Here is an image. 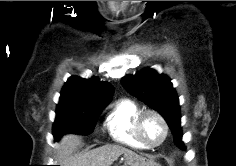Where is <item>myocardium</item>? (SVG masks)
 Masks as SVG:
<instances>
[{
    "label": "myocardium",
    "instance_id": "obj_1",
    "mask_svg": "<svg viewBox=\"0 0 236 166\" xmlns=\"http://www.w3.org/2000/svg\"><path fill=\"white\" fill-rule=\"evenodd\" d=\"M148 115L155 116L161 122V124L163 126V130H164V134H163L162 139L158 143H155V144L149 143L145 139L143 132H142L143 121ZM135 131H136V135H137L138 139L141 141V143L146 148H156V147H159L160 145H162L166 141V139L169 135V126H168L166 119L159 111H157L155 109H145V110L141 111V113L138 115V117L135 121Z\"/></svg>",
    "mask_w": 236,
    "mask_h": 166
}]
</instances>
